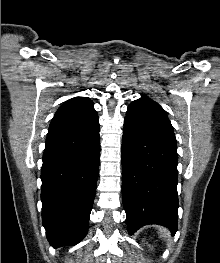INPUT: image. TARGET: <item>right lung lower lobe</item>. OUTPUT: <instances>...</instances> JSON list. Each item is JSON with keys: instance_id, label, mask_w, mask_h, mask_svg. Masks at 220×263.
<instances>
[{"instance_id": "1", "label": "right lung lower lobe", "mask_w": 220, "mask_h": 263, "mask_svg": "<svg viewBox=\"0 0 220 263\" xmlns=\"http://www.w3.org/2000/svg\"><path fill=\"white\" fill-rule=\"evenodd\" d=\"M99 126L78 138L47 136L41 170L42 224L53 247L86 235L99 171Z\"/></svg>"}]
</instances>
